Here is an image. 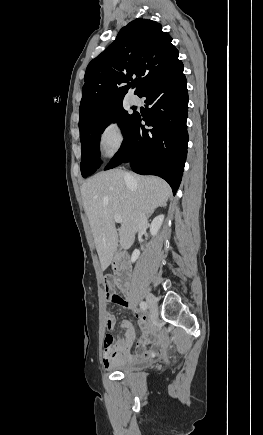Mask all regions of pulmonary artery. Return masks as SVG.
Here are the masks:
<instances>
[{"label": "pulmonary artery", "mask_w": 263, "mask_h": 435, "mask_svg": "<svg viewBox=\"0 0 263 435\" xmlns=\"http://www.w3.org/2000/svg\"><path fill=\"white\" fill-rule=\"evenodd\" d=\"M130 103L133 104V105L138 104L139 103V98L137 96H135V95L131 96L130 97Z\"/></svg>", "instance_id": "1"}]
</instances>
